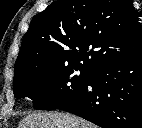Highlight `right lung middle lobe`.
Here are the masks:
<instances>
[{
    "mask_svg": "<svg viewBox=\"0 0 142 128\" xmlns=\"http://www.w3.org/2000/svg\"><path fill=\"white\" fill-rule=\"evenodd\" d=\"M92 70L79 65H40L14 77V95L29 97L39 110L58 109L87 85Z\"/></svg>",
    "mask_w": 142,
    "mask_h": 128,
    "instance_id": "right-lung-middle-lobe-1",
    "label": "right lung middle lobe"
}]
</instances>
